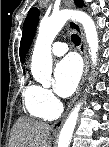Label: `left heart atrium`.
<instances>
[{
	"mask_svg": "<svg viewBox=\"0 0 109 147\" xmlns=\"http://www.w3.org/2000/svg\"><path fill=\"white\" fill-rule=\"evenodd\" d=\"M81 75V64L75 55L61 60L54 70V89L62 97H69L76 89Z\"/></svg>",
	"mask_w": 109,
	"mask_h": 147,
	"instance_id": "39dd6f15",
	"label": "left heart atrium"
}]
</instances>
